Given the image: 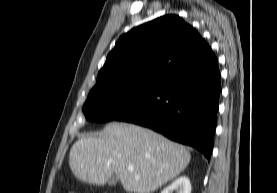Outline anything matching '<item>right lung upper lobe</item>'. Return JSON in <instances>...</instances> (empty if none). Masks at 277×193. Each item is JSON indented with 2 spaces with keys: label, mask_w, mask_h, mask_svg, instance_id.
Wrapping results in <instances>:
<instances>
[{
  "label": "right lung upper lobe",
  "mask_w": 277,
  "mask_h": 193,
  "mask_svg": "<svg viewBox=\"0 0 277 193\" xmlns=\"http://www.w3.org/2000/svg\"><path fill=\"white\" fill-rule=\"evenodd\" d=\"M212 54L195 28L177 15H165L119 38L90 92L126 86L158 88Z\"/></svg>",
  "instance_id": "right-lung-upper-lobe-1"
}]
</instances>
